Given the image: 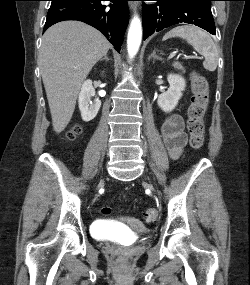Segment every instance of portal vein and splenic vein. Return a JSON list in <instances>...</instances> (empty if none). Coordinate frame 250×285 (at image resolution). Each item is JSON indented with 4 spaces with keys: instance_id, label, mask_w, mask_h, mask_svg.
Segmentation results:
<instances>
[{
    "instance_id": "obj_1",
    "label": "portal vein and splenic vein",
    "mask_w": 250,
    "mask_h": 285,
    "mask_svg": "<svg viewBox=\"0 0 250 285\" xmlns=\"http://www.w3.org/2000/svg\"><path fill=\"white\" fill-rule=\"evenodd\" d=\"M175 55V53H173L171 56H174ZM185 58L186 59H201V57H198L197 55H195V56H185Z\"/></svg>"
}]
</instances>
